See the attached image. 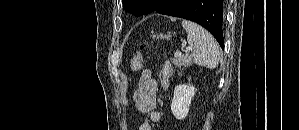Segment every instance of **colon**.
Instances as JSON below:
<instances>
[{
  "mask_svg": "<svg viewBox=\"0 0 299 130\" xmlns=\"http://www.w3.org/2000/svg\"><path fill=\"white\" fill-rule=\"evenodd\" d=\"M146 49V46H141L140 50L137 52L136 55H134L130 61V66L133 71H139L143 66V53ZM171 71V65L170 63L166 62L163 65L162 71H161V78L164 81L166 76Z\"/></svg>",
  "mask_w": 299,
  "mask_h": 130,
  "instance_id": "obj_1",
  "label": "colon"
}]
</instances>
